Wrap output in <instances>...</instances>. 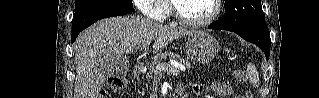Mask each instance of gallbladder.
<instances>
[{
    "label": "gallbladder",
    "instance_id": "obj_1",
    "mask_svg": "<svg viewBox=\"0 0 319 98\" xmlns=\"http://www.w3.org/2000/svg\"><path fill=\"white\" fill-rule=\"evenodd\" d=\"M128 62L124 57L107 55L100 59V68L104 73H120L127 69Z\"/></svg>",
    "mask_w": 319,
    "mask_h": 98
}]
</instances>
